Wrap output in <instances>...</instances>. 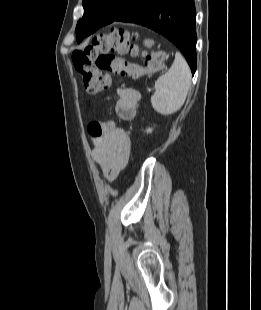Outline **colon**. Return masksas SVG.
<instances>
[{
	"mask_svg": "<svg viewBox=\"0 0 261 310\" xmlns=\"http://www.w3.org/2000/svg\"><path fill=\"white\" fill-rule=\"evenodd\" d=\"M138 47L135 38L123 29H113L93 39L91 44L73 52L76 71L82 76L85 89L95 94L111 85V75L139 78L152 74L163 66V55L159 52L145 53L144 65L129 62L124 55H136ZM106 123L93 121L88 132L94 137L103 135L108 129Z\"/></svg>",
	"mask_w": 261,
	"mask_h": 310,
	"instance_id": "1",
	"label": "colon"
}]
</instances>
